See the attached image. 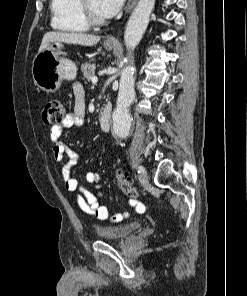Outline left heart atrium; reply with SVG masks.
<instances>
[{
  "instance_id": "left-heart-atrium-1",
  "label": "left heart atrium",
  "mask_w": 247,
  "mask_h": 296,
  "mask_svg": "<svg viewBox=\"0 0 247 296\" xmlns=\"http://www.w3.org/2000/svg\"><path fill=\"white\" fill-rule=\"evenodd\" d=\"M124 0H99L98 10L103 18H111L121 9Z\"/></svg>"
}]
</instances>
